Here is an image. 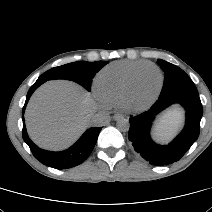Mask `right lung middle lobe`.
Returning a JSON list of instances; mask_svg holds the SVG:
<instances>
[{"instance_id": "dd1d6c3e", "label": "right lung middle lobe", "mask_w": 212, "mask_h": 212, "mask_svg": "<svg viewBox=\"0 0 212 212\" xmlns=\"http://www.w3.org/2000/svg\"><path fill=\"white\" fill-rule=\"evenodd\" d=\"M108 62L106 61H78L62 66H58L46 71L38 79L44 81L52 79H67L75 81L83 86L86 90H91V81L94 75L104 67Z\"/></svg>"}]
</instances>
